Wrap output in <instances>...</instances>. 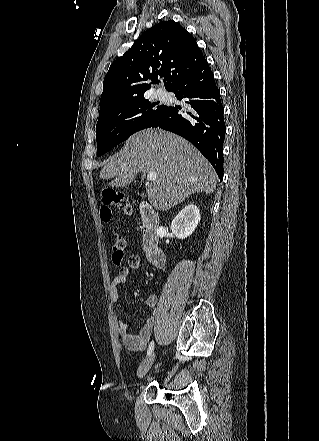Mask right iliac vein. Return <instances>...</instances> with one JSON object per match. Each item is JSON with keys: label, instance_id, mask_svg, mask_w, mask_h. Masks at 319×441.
I'll list each match as a JSON object with an SVG mask.
<instances>
[{"label": "right iliac vein", "instance_id": "right-iliac-vein-1", "mask_svg": "<svg viewBox=\"0 0 319 441\" xmlns=\"http://www.w3.org/2000/svg\"><path fill=\"white\" fill-rule=\"evenodd\" d=\"M154 358H155V355L151 354L150 356H148V358H146L141 363V365L139 366L138 371H137L138 378H143L146 375V373L149 371V369L151 368V366L154 362Z\"/></svg>", "mask_w": 319, "mask_h": 441}]
</instances>
